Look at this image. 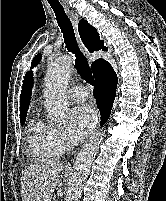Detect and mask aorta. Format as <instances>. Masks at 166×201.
Masks as SVG:
<instances>
[{"label":"aorta","mask_w":166,"mask_h":201,"mask_svg":"<svg viewBox=\"0 0 166 201\" xmlns=\"http://www.w3.org/2000/svg\"><path fill=\"white\" fill-rule=\"evenodd\" d=\"M72 62L73 59L69 55L51 60L44 80L45 107L49 117L57 123H65L67 120L68 103L65 93ZM103 136V133H99L91 137L78 153L66 193V201H79Z\"/></svg>","instance_id":"aorta-1"}]
</instances>
